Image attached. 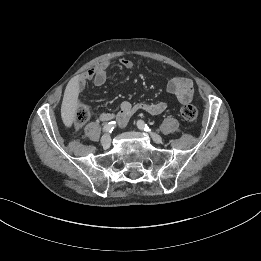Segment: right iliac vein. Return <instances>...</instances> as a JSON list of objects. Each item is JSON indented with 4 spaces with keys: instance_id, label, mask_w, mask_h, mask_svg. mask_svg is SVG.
Wrapping results in <instances>:
<instances>
[{
    "instance_id": "1",
    "label": "right iliac vein",
    "mask_w": 261,
    "mask_h": 261,
    "mask_svg": "<svg viewBox=\"0 0 261 261\" xmlns=\"http://www.w3.org/2000/svg\"><path fill=\"white\" fill-rule=\"evenodd\" d=\"M111 144V137L109 134H105L101 138V145L105 148H108Z\"/></svg>"
}]
</instances>
